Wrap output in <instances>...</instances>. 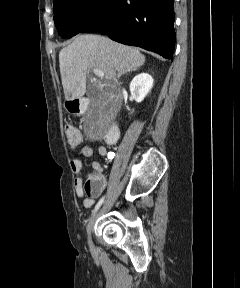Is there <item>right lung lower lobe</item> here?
I'll list each match as a JSON object with an SVG mask.
<instances>
[{
	"mask_svg": "<svg viewBox=\"0 0 240 288\" xmlns=\"http://www.w3.org/2000/svg\"><path fill=\"white\" fill-rule=\"evenodd\" d=\"M174 0H110L82 32L107 34L117 42L142 47L173 60Z\"/></svg>",
	"mask_w": 240,
	"mask_h": 288,
	"instance_id": "98d812e1",
	"label": "right lung lower lobe"
}]
</instances>
